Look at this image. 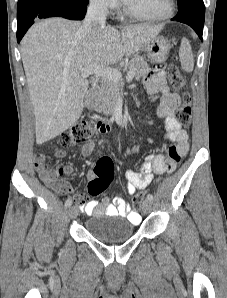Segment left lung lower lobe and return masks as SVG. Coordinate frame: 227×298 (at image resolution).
<instances>
[{
    "label": "left lung lower lobe",
    "instance_id": "0a47b994",
    "mask_svg": "<svg viewBox=\"0 0 227 298\" xmlns=\"http://www.w3.org/2000/svg\"><path fill=\"white\" fill-rule=\"evenodd\" d=\"M205 14L196 10L188 9L182 12H178L172 20L184 23L192 27L202 40L203 26H204Z\"/></svg>",
    "mask_w": 227,
    "mask_h": 298
}]
</instances>
